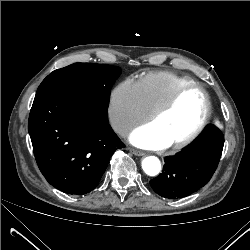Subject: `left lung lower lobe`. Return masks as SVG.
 <instances>
[{
    "instance_id": "left-lung-lower-lobe-1",
    "label": "left lung lower lobe",
    "mask_w": 250,
    "mask_h": 250,
    "mask_svg": "<svg viewBox=\"0 0 250 250\" xmlns=\"http://www.w3.org/2000/svg\"><path fill=\"white\" fill-rule=\"evenodd\" d=\"M223 145L221 131L212 125L206 126L179 154L165 158L162 173L150 180L152 189L169 199L182 198L198 190L215 172Z\"/></svg>"
}]
</instances>
